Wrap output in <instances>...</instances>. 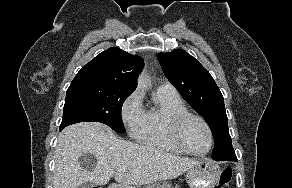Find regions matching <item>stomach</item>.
Segmentation results:
<instances>
[{"mask_svg":"<svg viewBox=\"0 0 292 188\" xmlns=\"http://www.w3.org/2000/svg\"><path fill=\"white\" fill-rule=\"evenodd\" d=\"M220 175L218 163L204 158L187 170L186 181L190 188H214Z\"/></svg>","mask_w":292,"mask_h":188,"instance_id":"obj_1","label":"stomach"}]
</instances>
